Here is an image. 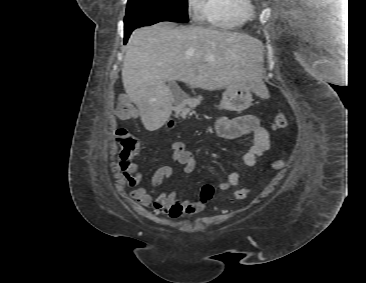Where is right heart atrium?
<instances>
[{"mask_svg":"<svg viewBox=\"0 0 366 283\" xmlns=\"http://www.w3.org/2000/svg\"><path fill=\"white\" fill-rule=\"evenodd\" d=\"M187 5L194 16L198 17L202 14L203 0H187Z\"/></svg>","mask_w":366,"mask_h":283,"instance_id":"obj_1","label":"right heart atrium"}]
</instances>
